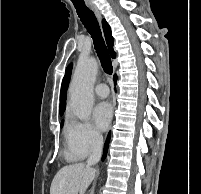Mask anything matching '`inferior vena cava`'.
<instances>
[{
  "label": "inferior vena cava",
  "mask_w": 201,
  "mask_h": 194,
  "mask_svg": "<svg viewBox=\"0 0 201 194\" xmlns=\"http://www.w3.org/2000/svg\"><path fill=\"white\" fill-rule=\"evenodd\" d=\"M102 148H103V137L101 135H98L95 137L93 141L91 154L86 161L88 166L95 165L96 163L99 162L102 154Z\"/></svg>",
  "instance_id": "602c4592"
}]
</instances>
